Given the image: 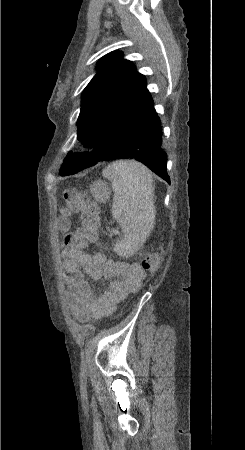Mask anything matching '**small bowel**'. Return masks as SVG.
Listing matches in <instances>:
<instances>
[{
  "instance_id": "small-bowel-1",
  "label": "small bowel",
  "mask_w": 245,
  "mask_h": 450,
  "mask_svg": "<svg viewBox=\"0 0 245 450\" xmlns=\"http://www.w3.org/2000/svg\"><path fill=\"white\" fill-rule=\"evenodd\" d=\"M63 268L69 289L68 305L71 313L82 321L98 320L111 315L123 298L137 290L145 277L135 263H116L99 251L94 254L63 251ZM85 274L94 279L119 280L98 295L86 280Z\"/></svg>"
}]
</instances>
